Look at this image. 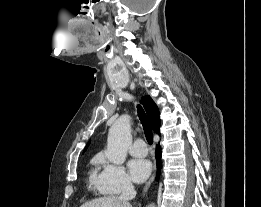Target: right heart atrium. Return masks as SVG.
I'll use <instances>...</instances> for the list:
<instances>
[{"label": "right heart atrium", "mask_w": 261, "mask_h": 207, "mask_svg": "<svg viewBox=\"0 0 261 207\" xmlns=\"http://www.w3.org/2000/svg\"><path fill=\"white\" fill-rule=\"evenodd\" d=\"M101 164V171L94 181L100 193L112 195L132 188V182L122 166L104 160Z\"/></svg>", "instance_id": "1"}]
</instances>
